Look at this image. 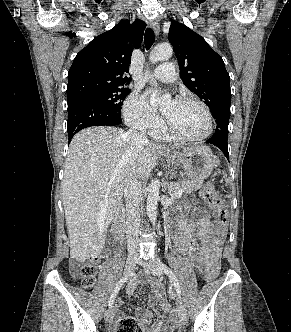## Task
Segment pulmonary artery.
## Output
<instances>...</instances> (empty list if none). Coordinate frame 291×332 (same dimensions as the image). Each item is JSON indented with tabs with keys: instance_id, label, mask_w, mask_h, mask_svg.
Listing matches in <instances>:
<instances>
[{
	"instance_id": "1",
	"label": "pulmonary artery",
	"mask_w": 291,
	"mask_h": 332,
	"mask_svg": "<svg viewBox=\"0 0 291 332\" xmlns=\"http://www.w3.org/2000/svg\"><path fill=\"white\" fill-rule=\"evenodd\" d=\"M151 76L162 82H173L176 79L175 67L170 62L164 63L155 68Z\"/></svg>"
}]
</instances>
